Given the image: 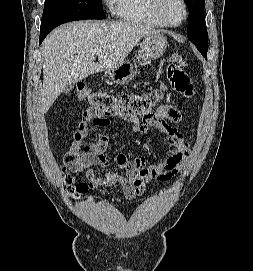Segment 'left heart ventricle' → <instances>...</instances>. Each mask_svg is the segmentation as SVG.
<instances>
[{"label":"left heart ventricle","instance_id":"b2bd125f","mask_svg":"<svg viewBox=\"0 0 253 271\" xmlns=\"http://www.w3.org/2000/svg\"><path fill=\"white\" fill-rule=\"evenodd\" d=\"M163 10L168 19L173 22H179L184 15V9L180 0H164Z\"/></svg>","mask_w":253,"mask_h":271}]
</instances>
